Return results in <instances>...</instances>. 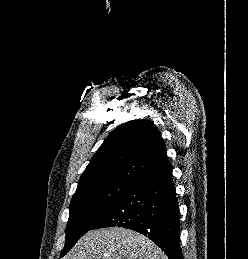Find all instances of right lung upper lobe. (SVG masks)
I'll list each match as a JSON object with an SVG mask.
<instances>
[{"instance_id":"cb5924a9","label":"right lung upper lobe","mask_w":248,"mask_h":259,"mask_svg":"<svg viewBox=\"0 0 248 259\" xmlns=\"http://www.w3.org/2000/svg\"><path fill=\"white\" fill-rule=\"evenodd\" d=\"M170 165L157 127L147 120H133L116 128L104 140L81 175L78 187L107 181L133 184Z\"/></svg>"}]
</instances>
